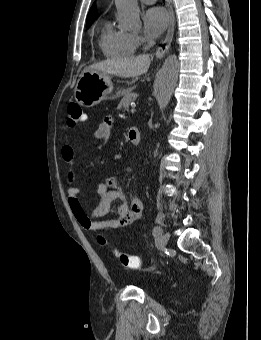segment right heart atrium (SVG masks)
<instances>
[{
	"mask_svg": "<svg viewBox=\"0 0 261 340\" xmlns=\"http://www.w3.org/2000/svg\"><path fill=\"white\" fill-rule=\"evenodd\" d=\"M134 36L138 44H141L143 42V38L140 35H134Z\"/></svg>",
	"mask_w": 261,
	"mask_h": 340,
	"instance_id": "right-heart-atrium-1",
	"label": "right heart atrium"
}]
</instances>
